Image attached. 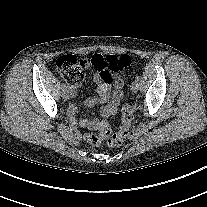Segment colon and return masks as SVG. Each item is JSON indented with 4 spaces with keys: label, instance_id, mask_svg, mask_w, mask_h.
Returning a JSON list of instances; mask_svg holds the SVG:
<instances>
[{
    "label": "colon",
    "instance_id": "1",
    "mask_svg": "<svg viewBox=\"0 0 207 207\" xmlns=\"http://www.w3.org/2000/svg\"><path fill=\"white\" fill-rule=\"evenodd\" d=\"M132 63V58L126 54L93 56L90 59H77L72 55H64L56 59L55 67L70 88H75L82 82L85 68L88 66L100 68L103 77L108 79L111 74L128 68ZM133 118V106L125 104L122 107V125L116 134L110 136L108 123L100 121L98 123L100 135L87 133L85 139L93 146H99L105 140L111 147H120L129 134Z\"/></svg>",
    "mask_w": 207,
    "mask_h": 207
}]
</instances>
